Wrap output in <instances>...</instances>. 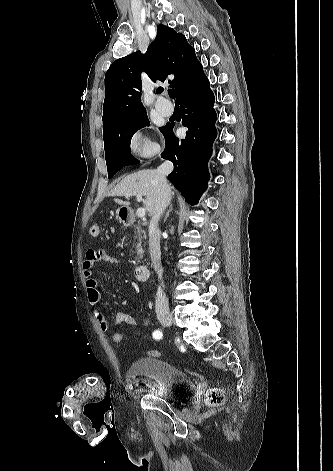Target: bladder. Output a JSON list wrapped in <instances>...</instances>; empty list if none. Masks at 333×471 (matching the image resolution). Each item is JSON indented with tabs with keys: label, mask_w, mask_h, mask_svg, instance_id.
I'll return each instance as SVG.
<instances>
[{
	"label": "bladder",
	"mask_w": 333,
	"mask_h": 471,
	"mask_svg": "<svg viewBox=\"0 0 333 471\" xmlns=\"http://www.w3.org/2000/svg\"><path fill=\"white\" fill-rule=\"evenodd\" d=\"M128 375L152 382L154 393L168 403L191 397L195 385L189 375L176 365L156 357H142L128 367Z\"/></svg>",
	"instance_id": "bladder-1"
}]
</instances>
